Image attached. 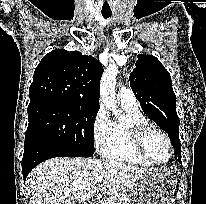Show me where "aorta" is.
Here are the masks:
<instances>
[{"label": "aorta", "mask_w": 206, "mask_h": 204, "mask_svg": "<svg viewBox=\"0 0 206 204\" xmlns=\"http://www.w3.org/2000/svg\"><path fill=\"white\" fill-rule=\"evenodd\" d=\"M118 75V68L114 64H110L104 71L100 82V100L103 104L112 111L114 115L120 113L117 108L116 99V78Z\"/></svg>", "instance_id": "aorta-1"}]
</instances>
